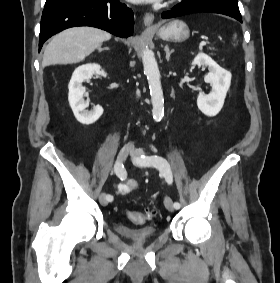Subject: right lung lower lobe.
<instances>
[{
	"mask_svg": "<svg viewBox=\"0 0 280 283\" xmlns=\"http://www.w3.org/2000/svg\"><path fill=\"white\" fill-rule=\"evenodd\" d=\"M133 11L119 0H58L45 5L39 50L54 34L77 26H92L119 37L133 35Z\"/></svg>",
	"mask_w": 280,
	"mask_h": 283,
	"instance_id": "right-lung-lower-lobe-1",
	"label": "right lung lower lobe"
}]
</instances>
